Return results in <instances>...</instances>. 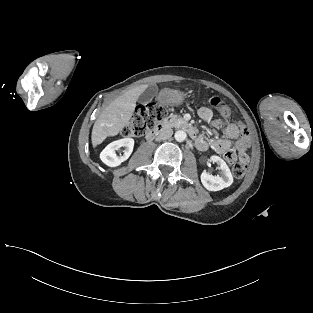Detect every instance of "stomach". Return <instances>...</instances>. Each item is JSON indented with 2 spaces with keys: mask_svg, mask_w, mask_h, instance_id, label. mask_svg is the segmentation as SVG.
<instances>
[{
  "mask_svg": "<svg viewBox=\"0 0 313 313\" xmlns=\"http://www.w3.org/2000/svg\"><path fill=\"white\" fill-rule=\"evenodd\" d=\"M185 94L179 90L164 89L158 95V102L164 106H176L183 103Z\"/></svg>",
  "mask_w": 313,
  "mask_h": 313,
  "instance_id": "stomach-1",
  "label": "stomach"
}]
</instances>
